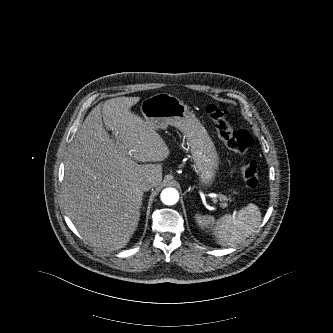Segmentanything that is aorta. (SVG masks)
Wrapping results in <instances>:
<instances>
[{
	"label": "aorta",
	"mask_w": 333,
	"mask_h": 333,
	"mask_svg": "<svg viewBox=\"0 0 333 333\" xmlns=\"http://www.w3.org/2000/svg\"><path fill=\"white\" fill-rule=\"evenodd\" d=\"M161 201L166 205H173L178 201L179 195L176 189L166 188L161 192Z\"/></svg>",
	"instance_id": "aorta-1"
}]
</instances>
